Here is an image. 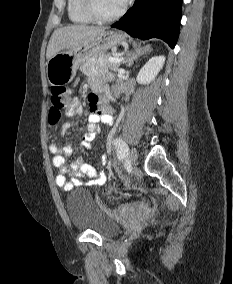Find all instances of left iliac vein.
<instances>
[{
    "label": "left iliac vein",
    "instance_id": "left-iliac-vein-1",
    "mask_svg": "<svg viewBox=\"0 0 233 284\" xmlns=\"http://www.w3.org/2000/svg\"><path fill=\"white\" fill-rule=\"evenodd\" d=\"M138 159V153L136 150H132L129 154V156L126 159V164L129 166L136 165Z\"/></svg>",
    "mask_w": 233,
    "mask_h": 284
}]
</instances>
